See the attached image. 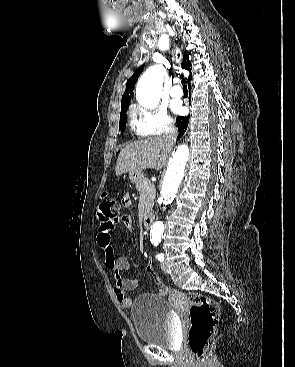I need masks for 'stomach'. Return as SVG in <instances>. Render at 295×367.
Returning <instances> with one entry per match:
<instances>
[{
  "label": "stomach",
  "mask_w": 295,
  "mask_h": 367,
  "mask_svg": "<svg viewBox=\"0 0 295 367\" xmlns=\"http://www.w3.org/2000/svg\"><path fill=\"white\" fill-rule=\"evenodd\" d=\"M129 179L132 183H139L143 179V173L142 171H134L129 173Z\"/></svg>",
  "instance_id": "obj_1"
}]
</instances>
